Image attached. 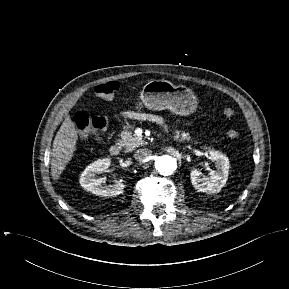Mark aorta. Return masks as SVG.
Returning a JSON list of instances; mask_svg holds the SVG:
<instances>
[{"label": "aorta", "instance_id": "obj_1", "mask_svg": "<svg viewBox=\"0 0 289 289\" xmlns=\"http://www.w3.org/2000/svg\"><path fill=\"white\" fill-rule=\"evenodd\" d=\"M155 167L161 175H171L177 169V160L170 155H162L155 161Z\"/></svg>", "mask_w": 289, "mask_h": 289}]
</instances>
